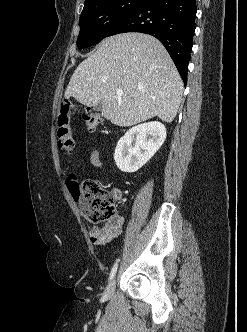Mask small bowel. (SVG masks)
Masks as SVG:
<instances>
[{
    "label": "small bowel",
    "instance_id": "obj_1",
    "mask_svg": "<svg viewBox=\"0 0 247 332\" xmlns=\"http://www.w3.org/2000/svg\"><path fill=\"white\" fill-rule=\"evenodd\" d=\"M92 163L99 169H103L102 163L99 159L97 151L92 154ZM115 201H118L122 197L120 189H113ZM124 224V218L121 215H115L106 224L102 226H94L89 231L90 240L95 245H104L110 242L112 239L120 235Z\"/></svg>",
    "mask_w": 247,
    "mask_h": 332
}]
</instances>
